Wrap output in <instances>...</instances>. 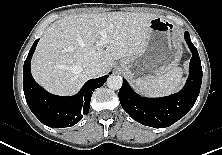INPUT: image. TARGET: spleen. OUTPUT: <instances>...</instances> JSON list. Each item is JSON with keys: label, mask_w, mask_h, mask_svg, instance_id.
<instances>
[{"label": "spleen", "mask_w": 222, "mask_h": 155, "mask_svg": "<svg viewBox=\"0 0 222 155\" xmlns=\"http://www.w3.org/2000/svg\"><path fill=\"white\" fill-rule=\"evenodd\" d=\"M182 74V69L175 67L155 78L138 79L136 85L143 93L150 96L170 95L179 90L182 82Z\"/></svg>", "instance_id": "obj_1"}]
</instances>
